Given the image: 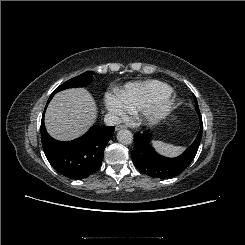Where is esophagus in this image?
<instances>
[{
  "mask_svg": "<svg viewBox=\"0 0 245 245\" xmlns=\"http://www.w3.org/2000/svg\"><path fill=\"white\" fill-rule=\"evenodd\" d=\"M126 128H127L126 125H117V126L115 127V130H116V131H119V130L126 129Z\"/></svg>",
  "mask_w": 245,
  "mask_h": 245,
  "instance_id": "1",
  "label": "esophagus"
}]
</instances>
